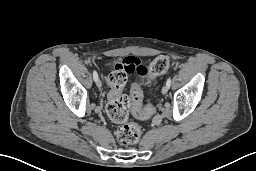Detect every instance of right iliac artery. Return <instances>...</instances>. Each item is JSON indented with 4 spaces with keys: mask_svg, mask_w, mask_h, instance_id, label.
<instances>
[{
    "mask_svg": "<svg viewBox=\"0 0 256 171\" xmlns=\"http://www.w3.org/2000/svg\"><path fill=\"white\" fill-rule=\"evenodd\" d=\"M93 79H94L95 82L98 79V74H97V72L95 70L93 71Z\"/></svg>",
    "mask_w": 256,
    "mask_h": 171,
    "instance_id": "82829eb1",
    "label": "right iliac artery"
}]
</instances>
